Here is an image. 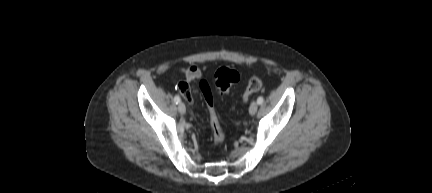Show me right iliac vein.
Listing matches in <instances>:
<instances>
[{
  "label": "right iliac vein",
  "mask_w": 432,
  "mask_h": 193,
  "mask_svg": "<svg viewBox=\"0 0 432 193\" xmlns=\"http://www.w3.org/2000/svg\"><path fill=\"white\" fill-rule=\"evenodd\" d=\"M178 110L181 114H184L186 112V106L183 102H180L178 105Z\"/></svg>",
  "instance_id": "63e3f726"
}]
</instances>
